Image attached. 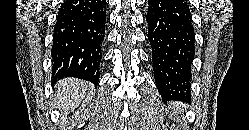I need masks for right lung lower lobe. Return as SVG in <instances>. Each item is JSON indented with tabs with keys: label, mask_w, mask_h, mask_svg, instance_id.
<instances>
[{
	"label": "right lung lower lobe",
	"mask_w": 249,
	"mask_h": 130,
	"mask_svg": "<svg viewBox=\"0 0 249 130\" xmlns=\"http://www.w3.org/2000/svg\"><path fill=\"white\" fill-rule=\"evenodd\" d=\"M105 0H66L54 28L52 77H76L97 85L105 38Z\"/></svg>",
	"instance_id": "98d812e1"
}]
</instances>
